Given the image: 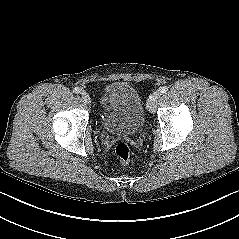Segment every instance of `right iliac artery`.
I'll return each instance as SVG.
<instances>
[{"label":"right iliac artery","mask_w":239,"mask_h":239,"mask_svg":"<svg viewBox=\"0 0 239 239\" xmlns=\"http://www.w3.org/2000/svg\"><path fill=\"white\" fill-rule=\"evenodd\" d=\"M73 92L76 93V94H78V93L81 92V89H80L79 87H75V88L73 89Z\"/></svg>","instance_id":"right-iliac-artery-1"}]
</instances>
